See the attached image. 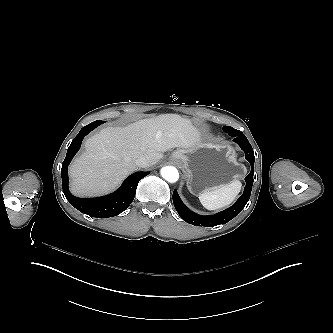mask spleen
Segmentation results:
<instances>
[{
	"label": "spleen",
	"mask_w": 333,
	"mask_h": 333,
	"mask_svg": "<svg viewBox=\"0 0 333 333\" xmlns=\"http://www.w3.org/2000/svg\"><path fill=\"white\" fill-rule=\"evenodd\" d=\"M241 189V182L238 180L222 184L214 190L203 191L199 194L202 205L210 210L222 208L231 204Z\"/></svg>",
	"instance_id": "spleen-1"
}]
</instances>
